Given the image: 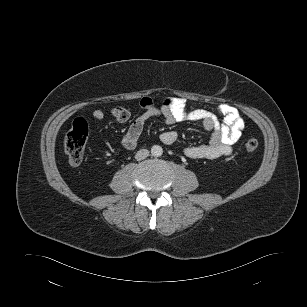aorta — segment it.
Wrapping results in <instances>:
<instances>
[{
    "label": "aorta",
    "instance_id": "obj_1",
    "mask_svg": "<svg viewBox=\"0 0 307 307\" xmlns=\"http://www.w3.org/2000/svg\"><path fill=\"white\" fill-rule=\"evenodd\" d=\"M151 154L154 157H160L163 154V149L159 145H154L151 148Z\"/></svg>",
    "mask_w": 307,
    "mask_h": 307
}]
</instances>
